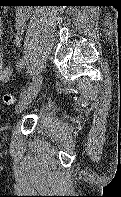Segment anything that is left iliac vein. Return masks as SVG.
<instances>
[{
	"label": "left iliac vein",
	"instance_id": "left-iliac-vein-1",
	"mask_svg": "<svg viewBox=\"0 0 121 197\" xmlns=\"http://www.w3.org/2000/svg\"><path fill=\"white\" fill-rule=\"evenodd\" d=\"M42 85V76H37L23 92L21 99L16 107V113H21L37 96Z\"/></svg>",
	"mask_w": 121,
	"mask_h": 197
}]
</instances>
